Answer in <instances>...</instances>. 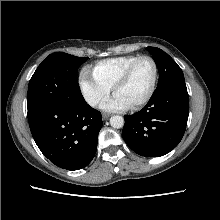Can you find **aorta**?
<instances>
[{
  "label": "aorta",
  "mask_w": 220,
  "mask_h": 220,
  "mask_svg": "<svg viewBox=\"0 0 220 220\" xmlns=\"http://www.w3.org/2000/svg\"><path fill=\"white\" fill-rule=\"evenodd\" d=\"M110 125L113 128L120 129L124 125V118L119 115H114L110 118Z\"/></svg>",
  "instance_id": "1"
}]
</instances>
